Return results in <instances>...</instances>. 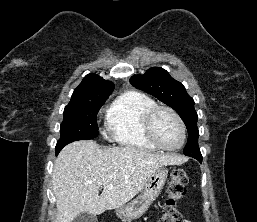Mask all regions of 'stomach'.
<instances>
[{"mask_svg": "<svg viewBox=\"0 0 257 222\" xmlns=\"http://www.w3.org/2000/svg\"><path fill=\"white\" fill-rule=\"evenodd\" d=\"M167 174L168 170L162 167L154 171L148 178L142 193L131 202L116 209L117 217L124 221H130L142 216L159 196Z\"/></svg>", "mask_w": 257, "mask_h": 222, "instance_id": "0dacf381", "label": "stomach"}]
</instances>
